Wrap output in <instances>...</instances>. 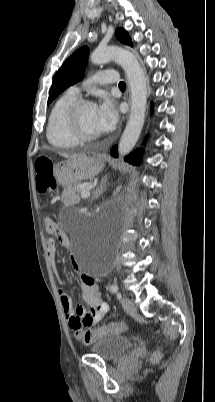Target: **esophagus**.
<instances>
[{
    "mask_svg": "<svg viewBox=\"0 0 215 402\" xmlns=\"http://www.w3.org/2000/svg\"><path fill=\"white\" fill-rule=\"evenodd\" d=\"M126 99L130 103V101H131V92H130L129 87L127 88V91H126Z\"/></svg>",
    "mask_w": 215,
    "mask_h": 402,
    "instance_id": "esophagus-1",
    "label": "esophagus"
}]
</instances>
